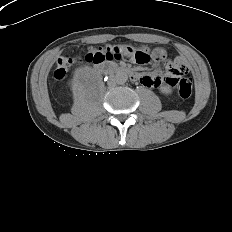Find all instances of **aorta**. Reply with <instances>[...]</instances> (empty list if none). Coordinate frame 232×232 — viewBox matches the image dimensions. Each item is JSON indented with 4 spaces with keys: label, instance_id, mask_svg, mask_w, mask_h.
I'll return each instance as SVG.
<instances>
[{
    "label": "aorta",
    "instance_id": "obj_1",
    "mask_svg": "<svg viewBox=\"0 0 232 232\" xmlns=\"http://www.w3.org/2000/svg\"><path fill=\"white\" fill-rule=\"evenodd\" d=\"M127 80H128V76L125 72H118L114 78V81L117 84H124L126 83Z\"/></svg>",
    "mask_w": 232,
    "mask_h": 232
}]
</instances>
